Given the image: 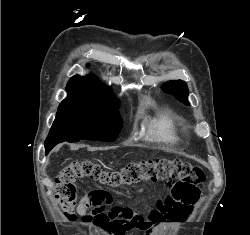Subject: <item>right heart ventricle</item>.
I'll return each instance as SVG.
<instances>
[{"label": "right heart ventricle", "instance_id": "obj_1", "mask_svg": "<svg viewBox=\"0 0 250 235\" xmlns=\"http://www.w3.org/2000/svg\"><path fill=\"white\" fill-rule=\"evenodd\" d=\"M177 119L170 111H162L147 123L148 135L155 141L176 144L179 141L176 130Z\"/></svg>", "mask_w": 250, "mask_h": 235}]
</instances>
